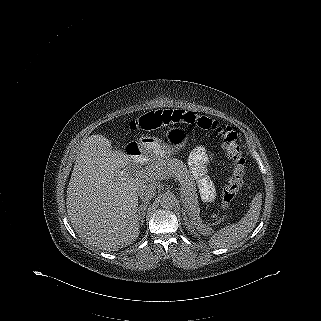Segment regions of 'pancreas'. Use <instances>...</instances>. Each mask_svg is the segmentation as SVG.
<instances>
[{"instance_id":"obj_1","label":"pancreas","mask_w":321,"mask_h":321,"mask_svg":"<svg viewBox=\"0 0 321 321\" xmlns=\"http://www.w3.org/2000/svg\"><path fill=\"white\" fill-rule=\"evenodd\" d=\"M167 176L175 177L181 186V195L184 198V205L192 218H197L200 213L196 186L186 165L175 158H165L154 162L150 167Z\"/></svg>"}]
</instances>
